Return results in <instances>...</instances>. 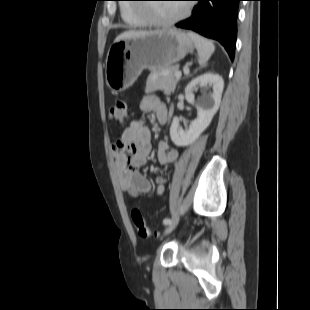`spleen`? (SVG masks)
Returning <instances> with one entry per match:
<instances>
[{
    "label": "spleen",
    "mask_w": 310,
    "mask_h": 310,
    "mask_svg": "<svg viewBox=\"0 0 310 310\" xmlns=\"http://www.w3.org/2000/svg\"><path fill=\"white\" fill-rule=\"evenodd\" d=\"M188 35L196 46L199 64L205 65L215 50L214 44L196 33L189 32Z\"/></svg>",
    "instance_id": "1"
}]
</instances>
